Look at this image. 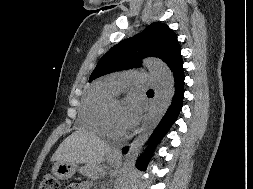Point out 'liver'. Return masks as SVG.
Instances as JSON below:
<instances>
[{
  "label": "liver",
  "mask_w": 253,
  "mask_h": 189,
  "mask_svg": "<svg viewBox=\"0 0 253 189\" xmlns=\"http://www.w3.org/2000/svg\"><path fill=\"white\" fill-rule=\"evenodd\" d=\"M110 152L99 137L86 130L80 129L69 135L55 151L51 161L72 162L85 164L87 173L97 176L100 164Z\"/></svg>",
  "instance_id": "liver-1"
}]
</instances>
